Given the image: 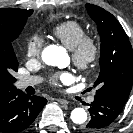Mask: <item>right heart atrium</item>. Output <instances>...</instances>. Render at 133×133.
<instances>
[{"label":"right heart atrium","instance_id":"right-heart-atrium-1","mask_svg":"<svg viewBox=\"0 0 133 133\" xmlns=\"http://www.w3.org/2000/svg\"><path fill=\"white\" fill-rule=\"evenodd\" d=\"M44 45V39L39 34L31 35L25 44V54L28 59L38 60Z\"/></svg>","mask_w":133,"mask_h":133}]
</instances>
